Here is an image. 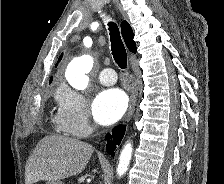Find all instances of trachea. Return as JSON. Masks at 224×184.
Returning a JSON list of instances; mask_svg holds the SVG:
<instances>
[{"mask_svg":"<svg viewBox=\"0 0 224 184\" xmlns=\"http://www.w3.org/2000/svg\"><path fill=\"white\" fill-rule=\"evenodd\" d=\"M108 26L113 58L116 64L121 69H124L127 66V53L119 33V28L114 22H109Z\"/></svg>","mask_w":224,"mask_h":184,"instance_id":"obj_1","label":"trachea"}]
</instances>
